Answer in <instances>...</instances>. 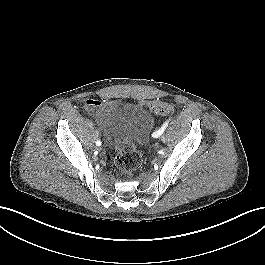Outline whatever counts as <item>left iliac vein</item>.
I'll return each instance as SVG.
<instances>
[{
    "label": "left iliac vein",
    "mask_w": 265,
    "mask_h": 265,
    "mask_svg": "<svg viewBox=\"0 0 265 265\" xmlns=\"http://www.w3.org/2000/svg\"><path fill=\"white\" fill-rule=\"evenodd\" d=\"M161 140H162V141H165V137H164V136H162V137H161Z\"/></svg>",
    "instance_id": "left-iliac-vein-1"
}]
</instances>
